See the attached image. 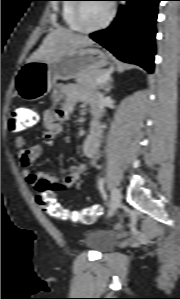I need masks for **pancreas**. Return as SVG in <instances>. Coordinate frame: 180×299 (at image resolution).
<instances>
[{
    "label": "pancreas",
    "mask_w": 180,
    "mask_h": 299,
    "mask_svg": "<svg viewBox=\"0 0 180 299\" xmlns=\"http://www.w3.org/2000/svg\"><path fill=\"white\" fill-rule=\"evenodd\" d=\"M107 73H108L107 70L90 71V72L78 77L77 82L91 90L103 89L105 86V83L97 85L96 82H97L98 78H100L101 76H103Z\"/></svg>",
    "instance_id": "obj_1"
}]
</instances>
